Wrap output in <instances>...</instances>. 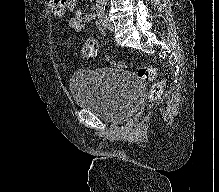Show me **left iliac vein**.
<instances>
[{"label": "left iliac vein", "mask_w": 219, "mask_h": 192, "mask_svg": "<svg viewBox=\"0 0 219 192\" xmlns=\"http://www.w3.org/2000/svg\"><path fill=\"white\" fill-rule=\"evenodd\" d=\"M105 27L111 32L114 30L113 22L107 16H105Z\"/></svg>", "instance_id": "left-iliac-vein-1"}]
</instances>
